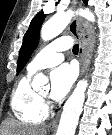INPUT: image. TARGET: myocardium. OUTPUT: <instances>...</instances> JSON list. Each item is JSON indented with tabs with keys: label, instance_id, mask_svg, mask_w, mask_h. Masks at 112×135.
Wrapping results in <instances>:
<instances>
[{
	"label": "myocardium",
	"instance_id": "1",
	"mask_svg": "<svg viewBox=\"0 0 112 135\" xmlns=\"http://www.w3.org/2000/svg\"><path fill=\"white\" fill-rule=\"evenodd\" d=\"M42 98H45V95H42Z\"/></svg>",
	"mask_w": 112,
	"mask_h": 135
}]
</instances>
